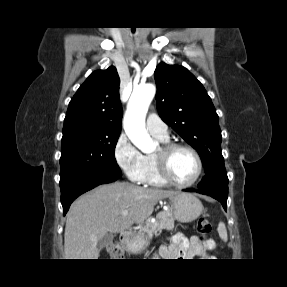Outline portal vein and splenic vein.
Here are the masks:
<instances>
[{
	"label": "portal vein and splenic vein",
	"instance_id": "18ae733b",
	"mask_svg": "<svg viewBox=\"0 0 287 287\" xmlns=\"http://www.w3.org/2000/svg\"><path fill=\"white\" fill-rule=\"evenodd\" d=\"M127 214H128V210H124V211L121 212L120 215H121V216H127Z\"/></svg>",
	"mask_w": 287,
	"mask_h": 287
}]
</instances>
